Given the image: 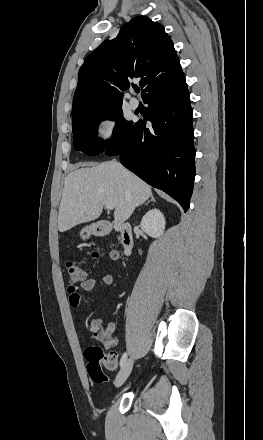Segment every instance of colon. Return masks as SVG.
<instances>
[{
  "label": "colon",
  "instance_id": "1",
  "mask_svg": "<svg viewBox=\"0 0 263 440\" xmlns=\"http://www.w3.org/2000/svg\"><path fill=\"white\" fill-rule=\"evenodd\" d=\"M91 256L97 258L98 251H92ZM117 258V253H113ZM65 272L71 285L82 282L86 279L87 272L84 267L76 261H68L65 264ZM97 335L95 332H91ZM86 368L90 378L96 383H103L107 380L104 369L114 371L118 365V356L115 352L105 354L98 345H88L84 351Z\"/></svg>",
  "mask_w": 263,
  "mask_h": 440
}]
</instances>
